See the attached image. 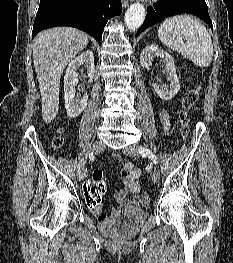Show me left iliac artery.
Here are the masks:
<instances>
[{
    "mask_svg": "<svg viewBox=\"0 0 233 263\" xmlns=\"http://www.w3.org/2000/svg\"><path fill=\"white\" fill-rule=\"evenodd\" d=\"M138 153L142 156H148L149 158L152 159V161L154 162V164H157V157L154 153H152L151 150H149L148 148L145 147H140L138 150Z\"/></svg>",
    "mask_w": 233,
    "mask_h": 263,
    "instance_id": "left-iliac-artery-1",
    "label": "left iliac artery"
}]
</instances>
